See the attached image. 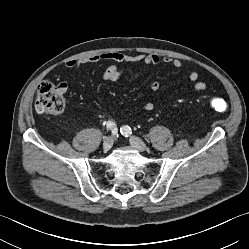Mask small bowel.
<instances>
[{
  "instance_id": "c3829d8e",
  "label": "small bowel",
  "mask_w": 249,
  "mask_h": 249,
  "mask_svg": "<svg viewBox=\"0 0 249 249\" xmlns=\"http://www.w3.org/2000/svg\"><path fill=\"white\" fill-rule=\"evenodd\" d=\"M99 62H109L110 64L105 68L101 77L104 81L115 82L119 80L125 73V68H120L119 64H138L143 63L145 65H158L160 63L169 64L177 70L183 68L184 64L180 59L163 57L156 54H126L121 51H108L89 57H82L78 60H69L66 63V67L80 68L85 65L96 64ZM188 80L192 83V91L194 92H204L207 90V84L199 80V73L195 70L191 71L188 75ZM62 90L65 92L67 90V84L62 83ZM150 89L154 92L160 89V83L158 81H153L150 84ZM155 105L153 102H146L144 104V109L146 111H152Z\"/></svg>"
}]
</instances>
